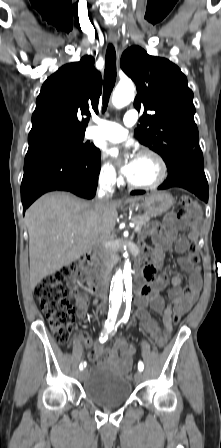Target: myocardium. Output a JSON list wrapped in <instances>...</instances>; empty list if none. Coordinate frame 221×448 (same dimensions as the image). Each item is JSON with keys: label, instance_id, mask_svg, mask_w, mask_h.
I'll use <instances>...</instances> for the list:
<instances>
[{"label": "myocardium", "instance_id": "1", "mask_svg": "<svg viewBox=\"0 0 221 448\" xmlns=\"http://www.w3.org/2000/svg\"><path fill=\"white\" fill-rule=\"evenodd\" d=\"M139 156H149V157L153 158L157 163V166L160 170V174L156 180L149 182V183H140V182H136V181L132 180L131 178H129L128 179L129 184L132 187L140 188V189H152V188H156V187L162 185L169 175V166H168L165 158L159 152H157L153 149H149V148H145V149L141 150L139 152Z\"/></svg>", "mask_w": 221, "mask_h": 448}]
</instances>
